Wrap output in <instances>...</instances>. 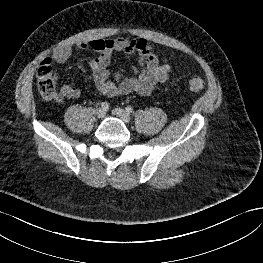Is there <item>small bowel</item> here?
<instances>
[{
    "mask_svg": "<svg viewBox=\"0 0 263 263\" xmlns=\"http://www.w3.org/2000/svg\"><path fill=\"white\" fill-rule=\"evenodd\" d=\"M76 48L99 53L98 57L89 61V67L97 90L105 97L130 93L149 95L169 78V62L158 57L153 46L144 38L93 39L78 43ZM118 52L137 54L138 65L133 67V76H125L122 71L114 74L109 71L112 57ZM72 54L73 46L63 45L53 52L52 59L57 63H65ZM80 93L78 87L66 84L60 88L54 100L56 103H62L65 99L79 97Z\"/></svg>",
    "mask_w": 263,
    "mask_h": 263,
    "instance_id": "1",
    "label": "small bowel"
}]
</instances>
